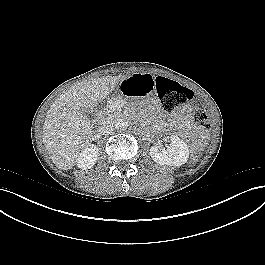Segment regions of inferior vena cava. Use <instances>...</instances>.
Listing matches in <instances>:
<instances>
[{"label": "inferior vena cava", "mask_w": 265, "mask_h": 265, "mask_svg": "<svg viewBox=\"0 0 265 265\" xmlns=\"http://www.w3.org/2000/svg\"><path fill=\"white\" fill-rule=\"evenodd\" d=\"M114 131L113 122L110 120H103L99 126V132L103 135H110Z\"/></svg>", "instance_id": "1"}]
</instances>
